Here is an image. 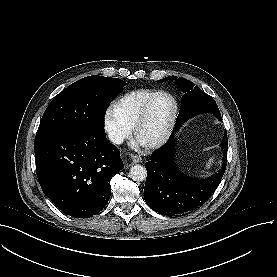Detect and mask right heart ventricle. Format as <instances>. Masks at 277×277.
I'll use <instances>...</instances> for the list:
<instances>
[{"instance_id":"e07e8e85","label":"right heart ventricle","mask_w":277,"mask_h":277,"mask_svg":"<svg viewBox=\"0 0 277 277\" xmlns=\"http://www.w3.org/2000/svg\"><path fill=\"white\" fill-rule=\"evenodd\" d=\"M153 92L151 90L132 91L122 97L116 104L118 112L130 124H134L140 115L148 97Z\"/></svg>"}]
</instances>
